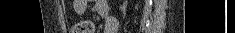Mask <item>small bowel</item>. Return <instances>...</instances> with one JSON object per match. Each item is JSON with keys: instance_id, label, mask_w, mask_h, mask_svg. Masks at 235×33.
<instances>
[{"instance_id": "small-bowel-1", "label": "small bowel", "mask_w": 235, "mask_h": 33, "mask_svg": "<svg viewBox=\"0 0 235 33\" xmlns=\"http://www.w3.org/2000/svg\"><path fill=\"white\" fill-rule=\"evenodd\" d=\"M86 4V0H77L74 3V7L77 11L82 12L85 10ZM95 9L105 19V33H116L117 21L109 15L107 2L105 0H97Z\"/></svg>"}]
</instances>
